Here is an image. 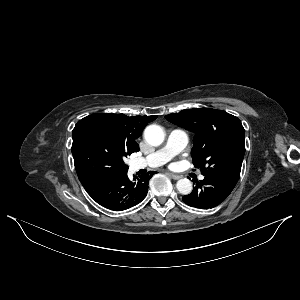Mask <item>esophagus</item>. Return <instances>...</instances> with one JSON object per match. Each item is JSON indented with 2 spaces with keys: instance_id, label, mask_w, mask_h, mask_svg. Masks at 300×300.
<instances>
[{
  "instance_id": "obj_1",
  "label": "esophagus",
  "mask_w": 300,
  "mask_h": 300,
  "mask_svg": "<svg viewBox=\"0 0 300 300\" xmlns=\"http://www.w3.org/2000/svg\"><path fill=\"white\" fill-rule=\"evenodd\" d=\"M169 176L174 180H179L180 178H182L180 175L173 174V173H169Z\"/></svg>"
}]
</instances>
